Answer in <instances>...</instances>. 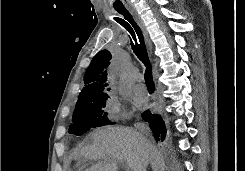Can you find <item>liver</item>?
<instances>
[{"label":"liver","instance_id":"6515ba94","mask_svg":"<svg viewBox=\"0 0 245 171\" xmlns=\"http://www.w3.org/2000/svg\"><path fill=\"white\" fill-rule=\"evenodd\" d=\"M92 139V144L81 149L80 156L99 162L86 171H118L119 162H125L132 171H142L149 164L152 171L167 170L162 154L135 130L106 127L95 131Z\"/></svg>","mask_w":245,"mask_h":171}]
</instances>
